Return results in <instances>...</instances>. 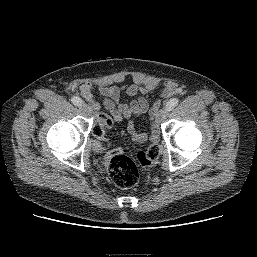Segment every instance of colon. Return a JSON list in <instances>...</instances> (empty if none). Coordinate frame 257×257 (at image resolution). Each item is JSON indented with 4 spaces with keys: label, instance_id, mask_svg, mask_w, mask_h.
<instances>
[{
    "label": "colon",
    "instance_id": "colon-1",
    "mask_svg": "<svg viewBox=\"0 0 257 257\" xmlns=\"http://www.w3.org/2000/svg\"><path fill=\"white\" fill-rule=\"evenodd\" d=\"M113 124V119L106 117L97 122L92 129L94 140L92 147L102 150L101 142L105 141V130ZM159 149L157 145H151L145 150L138 151L134 159L123 154L122 150L115 149L110 153L108 165L109 175L114 184L120 188H130L137 184L139 169L150 167L157 160Z\"/></svg>",
    "mask_w": 257,
    "mask_h": 257
}]
</instances>
